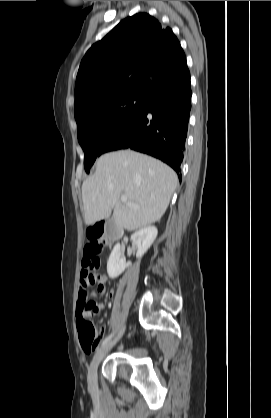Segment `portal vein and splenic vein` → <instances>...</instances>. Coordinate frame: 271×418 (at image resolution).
Instances as JSON below:
<instances>
[{
    "mask_svg": "<svg viewBox=\"0 0 271 418\" xmlns=\"http://www.w3.org/2000/svg\"><path fill=\"white\" fill-rule=\"evenodd\" d=\"M121 201H122L123 203H126V204H128V205L132 206V207H137L136 205H134V204H131V203H128V202H127V196H126V195H122V196H121Z\"/></svg>",
    "mask_w": 271,
    "mask_h": 418,
    "instance_id": "18ae733b",
    "label": "portal vein and splenic vein"
}]
</instances>
